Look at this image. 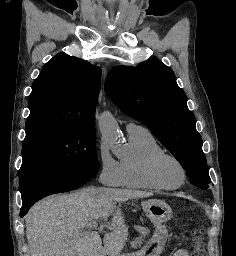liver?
Segmentation results:
<instances>
[{
  "mask_svg": "<svg viewBox=\"0 0 236 256\" xmlns=\"http://www.w3.org/2000/svg\"><path fill=\"white\" fill-rule=\"evenodd\" d=\"M150 192L85 188L74 194L48 196L26 216V238L31 256H118L128 240L122 202L148 198ZM91 220H110L112 232L102 240L97 232L81 234Z\"/></svg>",
  "mask_w": 236,
  "mask_h": 256,
  "instance_id": "obj_1",
  "label": "liver"
}]
</instances>
